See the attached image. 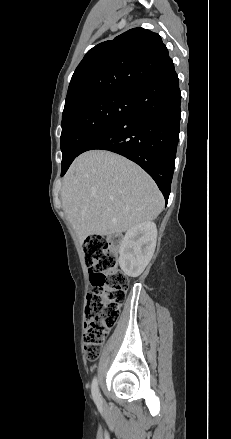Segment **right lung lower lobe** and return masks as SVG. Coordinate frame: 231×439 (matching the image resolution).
<instances>
[{
	"label": "right lung lower lobe",
	"instance_id": "1",
	"mask_svg": "<svg viewBox=\"0 0 231 439\" xmlns=\"http://www.w3.org/2000/svg\"><path fill=\"white\" fill-rule=\"evenodd\" d=\"M134 98L132 112L93 134L78 153L102 149L134 161L155 180L168 201L181 116L179 79L174 68L139 88Z\"/></svg>",
	"mask_w": 231,
	"mask_h": 439
}]
</instances>
